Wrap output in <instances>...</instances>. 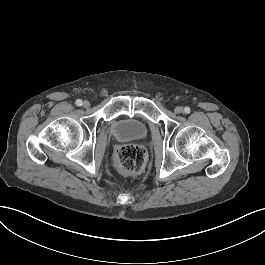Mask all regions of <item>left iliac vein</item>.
<instances>
[{
  "label": "left iliac vein",
  "instance_id": "1",
  "mask_svg": "<svg viewBox=\"0 0 265 265\" xmlns=\"http://www.w3.org/2000/svg\"><path fill=\"white\" fill-rule=\"evenodd\" d=\"M174 112L176 114H180L183 112V108L181 106H176L175 109H174Z\"/></svg>",
  "mask_w": 265,
  "mask_h": 265
}]
</instances>
